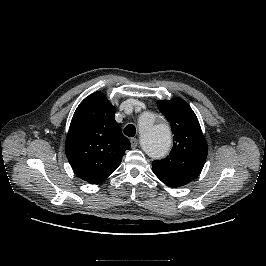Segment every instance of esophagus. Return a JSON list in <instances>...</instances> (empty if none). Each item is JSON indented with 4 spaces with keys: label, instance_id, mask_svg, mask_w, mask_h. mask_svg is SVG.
<instances>
[{
    "label": "esophagus",
    "instance_id": "esophagus-1",
    "mask_svg": "<svg viewBox=\"0 0 266 266\" xmlns=\"http://www.w3.org/2000/svg\"><path fill=\"white\" fill-rule=\"evenodd\" d=\"M130 143H131L132 148H136L138 145V139L137 138H131Z\"/></svg>",
    "mask_w": 266,
    "mask_h": 266
}]
</instances>
